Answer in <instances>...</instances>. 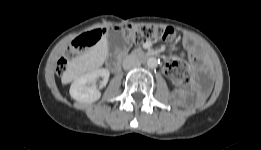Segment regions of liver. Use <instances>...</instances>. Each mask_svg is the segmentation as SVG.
<instances>
[{
    "instance_id": "obj_1",
    "label": "liver",
    "mask_w": 261,
    "mask_h": 150,
    "mask_svg": "<svg viewBox=\"0 0 261 150\" xmlns=\"http://www.w3.org/2000/svg\"><path fill=\"white\" fill-rule=\"evenodd\" d=\"M108 53V42L106 37L102 39L83 55L73 59L70 67L80 74L95 70L103 65Z\"/></svg>"
}]
</instances>
